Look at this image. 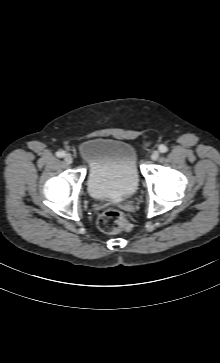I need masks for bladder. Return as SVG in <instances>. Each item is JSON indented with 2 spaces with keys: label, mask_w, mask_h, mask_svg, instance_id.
<instances>
[{
  "label": "bladder",
  "mask_w": 220,
  "mask_h": 363,
  "mask_svg": "<svg viewBox=\"0 0 220 363\" xmlns=\"http://www.w3.org/2000/svg\"><path fill=\"white\" fill-rule=\"evenodd\" d=\"M77 152L87 166L86 187L91 197L122 200L138 189V155L130 142L90 138L79 144Z\"/></svg>",
  "instance_id": "31cf9c89"
}]
</instances>
